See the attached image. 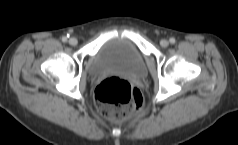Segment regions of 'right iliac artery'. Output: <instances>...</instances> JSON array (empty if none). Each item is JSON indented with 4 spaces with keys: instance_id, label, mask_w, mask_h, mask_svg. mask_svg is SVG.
Segmentation results:
<instances>
[{
    "instance_id": "right-iliac-artery-1",
    "label": "right iliac artery",
    "mask_w": 238,
    "mask_h": 145,
    "mask_svg": "<svg viewBox=\"0 0 238 145\" xmlns=\"http://www.w3.org/2000/svg\"><path fill=\"white\" fill-rule=\"evenodd\" d=\"M62 41L66 42L67 41V37H62Z\"/></svg>"
}]
</instances>
